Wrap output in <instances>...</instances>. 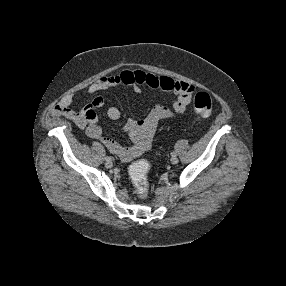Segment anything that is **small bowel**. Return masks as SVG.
I'll return each mask as SVG.
<instances>
[{
    "label": "small bowel",
    "instance_id": "small-bowel-1",
    "mask_svg": "<svg viewBox=\"0 0 286 286\" xmlns=\"http://www.w3.org/2000/svg\"><path fill=\"white\" fill-rule=\"evenodd\" d=\"M120 86H131L136 93L141 92L142 86H147L174 96L172 110L164 106H155L145 118L138 120L129 119L126 122L124 130L133 141L132 146L124 147L113 139L103 135L102 129L97 123L98 119L95 111L96 107H100L104 103L101 97L94 98L91 104L86 105L81 110H76L73 107V95H65L60 104L55 108L54 113L72 120L85 130L89 138L100 141L120 160L128 162L149 149L156 129L162 120L172 119L186 112L191 104L195 87L192 84L169 76H159L152 73H145L141 70H119L103 76L91 84L87 93L93 95L97 92ZM107 116L112 120H117L120 118L121 112L118 107L110 106L107 109Z\"/></svg>",
    "mask_w": 286,
    "mask_h": 286
}]
</instances>
